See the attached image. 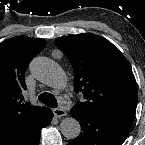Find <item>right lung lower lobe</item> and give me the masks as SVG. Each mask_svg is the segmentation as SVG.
<instances>
[{"instance_id":"right-lung-lower-lobe-1","label":"right lung lower lobe","mask_w":145,"mask_h":145,"mask_svg":"<svg viewBox=\"0 0 145 145\" xmlns=\"http://www.w3.org/2000/svg\"><path fill=\"white\" fill-rule=\"evenodd\" d=\"M53 113L46 108L41 114L0 136V145H38L40 130L50 124Z\"/></svg>"}]
</instances>
